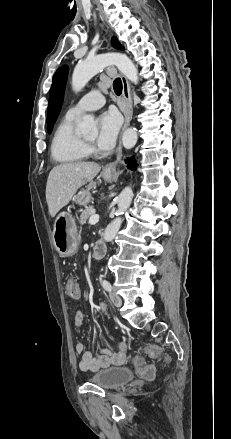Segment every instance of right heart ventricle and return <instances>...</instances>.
<instances>
[{
	"mask_svg": "<svg viewBox=\"0 0 231 439\" xmlns=\"http://www.w3.org/2000/svg\"><path fill=\"white\" fill-rule=\"evenodd\" d=\"M76 119L66 115L56 127L51 142V156L57 163L74 164L88 156V148L75 130Z\"/></svg>",
	"mask_w": 231,
	"mask_h": 439,
	"instance_id": "right-heart-ventricle-1",
	"label": "right heart ventricle"
}]
</instances>
